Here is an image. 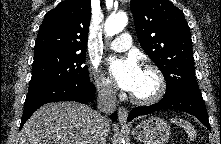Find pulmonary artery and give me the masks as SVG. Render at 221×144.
<instances>
[{
  "label": "pulmonary artery",
  "instance_id": "1",
  "mask_svg": "<svg viewBox=\"0 0 221 144\" xmlns=\"http://www.w3.org/2000/svg\"><path fill=\"white\" fill-rule=\"evenodd\" d=\"M131 43L132 40L130 34L122 33L109 44V48L113 51L123 52L131 47Z\"/></svg>",
  "mask_w": 221,
  "mask_h": 144
}]
</instances>
